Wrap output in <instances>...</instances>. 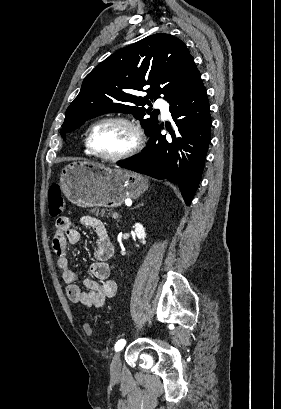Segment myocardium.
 <instances>
[{
	"instance_id": "f54148a6",
	"label": "myocardium",
	"mask_w": 281,
	"mask_h": 409,
	"mask_svg": "<svg viewBox=\"0 0 281 409\" xmlns=\"http://www.w3.org/2000/svg\"><path fill=\"white\" fill-rule=\"evenodd\" d=\"M109 123H120L123 124L125 126H127L128 128H130L132 130V132L134 133L135 136V140L134 143L124 152L118 154V155H113V156H108V155H102L99 152H97L96 148H95V135L98 131V129L100 127H102L103 125L109 124ZM145 142V134L143 129L141 128V126L135 122L132 119H129L127 117L124 116H108V117H104L100 120H98L92 127L90 134H89V138H88V145H89V149L92 153V155H94L95 157L101 159V160H105V161H109V162H119V161H123L126 160L132 156H134L135 154H137L143 147Z\"/></svg>"
}]
</instances>
